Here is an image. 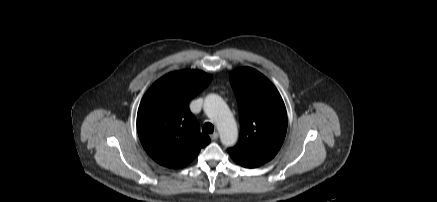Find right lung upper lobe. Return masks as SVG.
I'll return each instance as SVG.
<instances>
[{"mask_svg":"<svg viewBox=\"0 0 437 202\" xmlns=\"http://www.w3.org/2000/svg\"><path fill=\"white\" fill-rule=\"evenodd\" d=\"M210 82L211 77L202 71H175L145 93L137 113V131L145 151L158 164L185 167L210 143L189 110L190 100Z\"/></svg>","mask_w":437,"mask_h":202,"instance_id":"cb5924a9","label":"right lung upper lobe"}]
</instances>
